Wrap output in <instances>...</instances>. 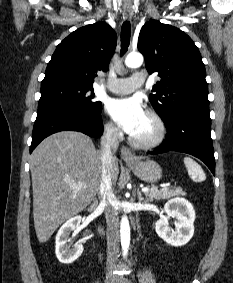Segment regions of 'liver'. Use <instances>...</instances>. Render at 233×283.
<instances>
[{
    "label": "liver",
    "mask_w": 233,
    "mask_h": 283,
    "mask_svg": "<svg viewBox=\"0 0 233 283\" xmlns=\"http://www.w3.org/2000/svg\"><path fill=\"white\" fill-rule=\"evenodd\" d=\"M34 227L39 242H46L66 220L83 211L99 192L101 151L92 140L76 131H61L44 139L30 162ZM119 174L113 157V184ZM84 184L77 189L73 185Z\"/></svg>",
    "instance_id": "liver-1"
}]
</instances>
